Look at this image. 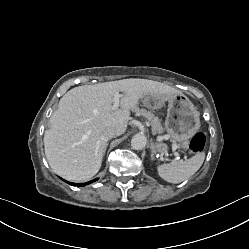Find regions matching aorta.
Here are the masks:
<instances>
[{
  "label": "aorta",
  "mask_w": 249,
  "mask_h": 249,
  "mask_svg": "<svg viewBox=\"0 0 249 249\" xmlns=\"http://www.w3.org/2000/svg\"><path fill=\"white\" fill-rule=\"evenodd\" d=\"M147 144V138L144 134L138 133L132 137L131 146L135 150H142Z\"/></svg>",
  "instance_id": "aorta-1"
}]
</instances>
